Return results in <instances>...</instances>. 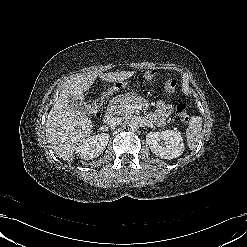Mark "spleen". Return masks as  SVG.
I'll return each instance as SVG.
<instances>
[{"mask_svg":"<svg viewBox=\"0 0 247 247\" xmlns=\"http://www.w3.org/2000/svg\"><path fill=\"white\" fill-rule=\"evenodd\" d=\"M202 130V118L194 116L189 121V126L186 130L187 145L191 150H195L199 142Z\"/></svg>","mask_w":247,"mask_h":247,"instance_id":"spleen-1","label":"spleen"}]
</instances>
